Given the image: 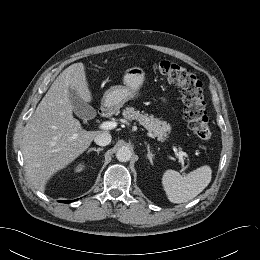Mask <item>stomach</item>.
<instances>
[{
    "label": "stomach",
    "mask_w": 260,
    "mask_h": 260,
    "mask_svg": "<svg viewBox=\"0 0 260 260\" xmlns=\"http://www.w3.org/2000/svg\"><path fill=\"white\" fill-rule=\"evenodd\" d=\"M145 80V71L141 67H131L125 71L124 86H112L103 95L104 106L119 109L128 100L138 96L139 90Z\"/></svg>",
    "instance_id": "obj_1"
}]
</instances>
